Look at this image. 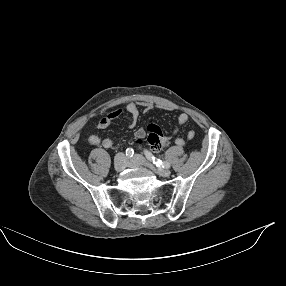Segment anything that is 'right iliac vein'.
I'll return each mask as SVG.
<instances>
[{
  "label": "right iliac vein",
  "instance_id": "63e3f726",
  "mask_svg": "<svg viewBox=\"0 0 286 286\" xmlns=\"http://www.w3.org/2000/svg\"><path fill=\"white\" fill-rule=\"evenodd\" d=\"M128 164V159L124 154H118L115 158L114 169L117 172L123 171Z\"/></svg>",
  "mask_w": 286,
  "mask_h": 286
}]
</instances>
